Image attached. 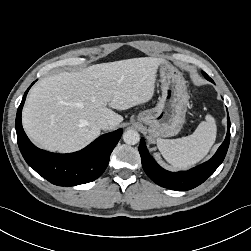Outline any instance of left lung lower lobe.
Wrapping results in <instances>:
<instances>
[{"label":"left lung lower lobe","instance_id":"left-lung-lower-lobe-1","mask_svg":"<svg viewBox=\"0 0 251 251\" xmlns=\"http://www.w3.org/2000/svg\"><path fill=\"white\" fill-rule=\"evenodd\" d=\"M227 135L215 155L207 162L189 171L169 172L161 168L149 154L142 138L139 145L142 166L148 177L156 184L176 191H187L202 184L223 162L230 142V119L227 115Z\"/></svg>","mask_w":251,"mask_h":251}]
</instances>
